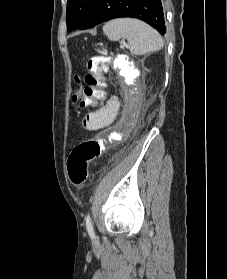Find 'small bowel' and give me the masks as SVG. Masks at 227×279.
Returning <instances> with one entry per match:
<instances>
[{"label":"small bowel","instance_id":"1","mask_svg":"<svg viewBox=\"0 0 227 279\" xmlns=\"http://www.w3.org/2000/svg\"><path fill=\"white\" fill-rule=\"evenodd\" d=\"M121 101L118 96L110 95L98 110L89 113L82 120V126L87 130H100L110 126L118 115Z\"/></svg>","mask_w":227,"mask_h":279}]
</instances>
